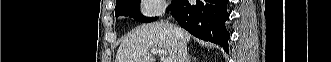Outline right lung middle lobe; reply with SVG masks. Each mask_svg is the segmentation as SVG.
Returning <instances> with one entry per match:
<instances>
[{"label": "right lung middle lobe", "instance_id": "obj_1", "mask_svg": "<svg viewBox=\"0 0 331 62\" xmlns=\"http://www.w3.org/2000/svg\"><path fill=\"white\" fill-rule=\"evenodd\" d=\"M177 3V0H172L171 5L167 8H171ZM139 1L137 0H119L116 2L115 16H129L139 22H152L157 17H145L138 12Z\"/></svg>", "mask_w": 331, "mask_h": 62}]
</instances>
